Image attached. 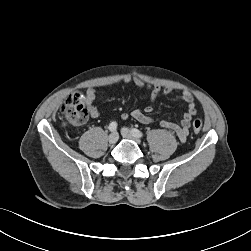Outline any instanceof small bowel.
<instances>
[{
	"label": "small bowel",
	"mask_w": 251,
	"mask_h": 251,
	"mask_svg": "<svg viewBox=\"0 0 251 251\" xmlns=\"http://www.w3.org/2000/svg\"><path fill=\"white\" fill-rule=\"evenodd\" d=\"M123 82L126 84H132L139 88H146L150 91V100L154 101L160 93L168 95L172 93L173 89L170 87L162 88L158 84L148 83L138 77L127 75L123 78ZM180 98L187 103V110L183 114L180 124L173 123L168 120H161L160 126L174 132L180 141L184 142L189 134L192 118L196 115L197 110L194 103L193 95L189 91H182ZM96 99V90L94 88H88L86 90V106L90 117H99V110L95 106L94 102ZM153 111L152 106H146L142 110H133L130 114L122 113L121 118L126 120L130 116L142 124H150L152 122V117L150 113Z\"/></svg>",
	"instance_id": "1"
}]
</instances>
